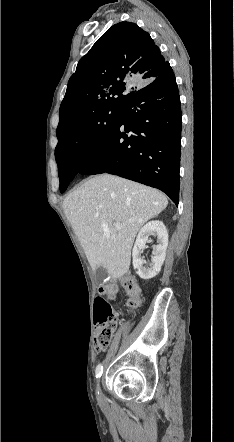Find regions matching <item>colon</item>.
I'll list each match as a JSON object with an SVG mask.
<instances>
[{"instance_id": "colon-1", "label": "colon", "mask_w": 234, "mask_h": 442, "mask_svg": "<svg viewBox=\"0 0 234 442\" xmlns=\"http://www.w3.org/2000/svg\"><path fill=\"white\" fill-rule=\"evenodd\" d=\"M123 286L129 296V305L132 309L143 303L141 289L136 280L128 275L123 280ZM116 285L105 284L99 288V295L95 299L94 321L96 326L95 348L102 352L110 344L117 326L116 314L110 301L115 297Z\"/></svg>"}]
</instances>
